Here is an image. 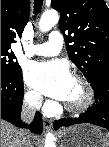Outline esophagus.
I'll return each instance as SVG.
<instances>
[{
	"instance_id": "1",
	"label": "esophagus",
	"mask_w": 109,
	"mask_h": 147,
	"mask_svg": "<svg viewBox=\"0 0 109 147\" xmlns=\"http://www.w3.org/2000/svg\"><path fill=\"white\" fill-rule=\"evenodd\" d=\"M43 125H44V128L49 129L52 126V121L49 120V119L44 118L43 119Z\"/></svg>"
}]
</instances>
